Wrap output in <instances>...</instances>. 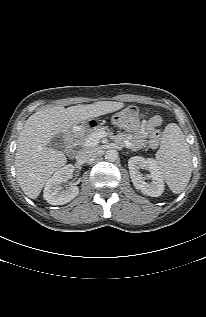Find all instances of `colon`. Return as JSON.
Segmentation results:
<instances>
[{
  "label": "colon",
  "instance_id": "5ec220e1",
  "mask_svg": "<svg viewBox=\"0 0 206 317\" xmlns=\"http://www.w3.org/2000/svg\"><path fill=\"white\" fill-rule=\"evenodd\" d=\"M140 119L139 109L135 106L127 107L112 116V123L122 129L135 128Z\"/></svg>",
  "mask_w": 206,
  "mask_h": 317
}]
</instances>
